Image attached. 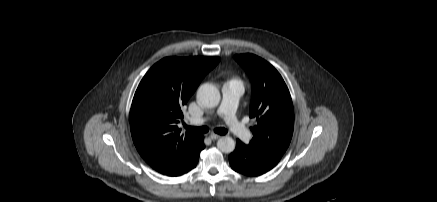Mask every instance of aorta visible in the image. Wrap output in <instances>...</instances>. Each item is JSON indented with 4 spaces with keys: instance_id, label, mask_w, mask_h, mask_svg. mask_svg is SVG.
Returning a JSON list of instances; mask_svg holds the SVG:
<instances>
[{
    "instance_id": "aorta-1",
    "label": "aorta",
    "mask_w": 437,
    "mask_h": 202,
    "mask_svg": "<svg viewBox=\"0 0 437 202\" xmlns=\"http://www.w3.org/2000/svg\"><path fill=\"white\" fill-rule=\"evenodd\" d=\"M220 92L218 88L210 83L202 84L197 91V100L199 104L207 108H214L220 102ZM236 143L229 136L221 137L217 142L218 149L223 153H231L234 151Z\"/></svg>"
}]
</instances>
